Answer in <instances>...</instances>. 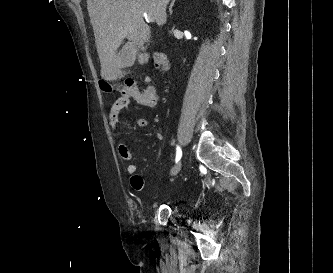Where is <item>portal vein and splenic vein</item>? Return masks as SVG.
<instances>
[{"instance_id":"1","label":"portal vein and splenic vein","mask_w":333,"mask_h":273,"mask_svg":"<svg viewBox=\"0 0 333 273\" xmlns=\"http://www.w3.org/2000/svg\"><path fill=\"white\" fill-rule=\"evenodd\" d=\"M144 15H145V18H146L147 21H149V22L154 21V18L151 15H147V14H144Z\"/></svg>"}]
</instances>
